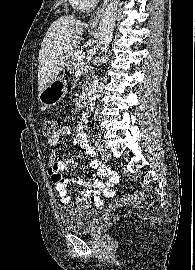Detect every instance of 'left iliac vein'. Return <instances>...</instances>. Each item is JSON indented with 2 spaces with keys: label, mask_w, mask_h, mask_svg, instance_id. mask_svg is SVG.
<instances>
[{
  "label": "left iliac vein",
  "mask_w": 195,
  "mask_h": 270,
  "mask_svg": "<svg viewBox=\"0 0 195 270\" xmlns=\"http://www.w3.org/2000/svg\"><path fill=\"white\" fill-rule=\"evenodd\" d=\"M99 146H100L99 152H100L101 157L105 160L109 159L111 154L108 148L104 147L103 145H99Z\"/></svg>",
  "instance_id": "obj_1"
}]
</instances>
